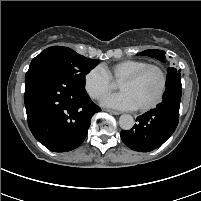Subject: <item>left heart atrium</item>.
<instances>
[{"mask_svg":"<svg viewBox=\"0 0 201 201\" xmlns=\"http://www.w3.org/2000/svg\"><path fill=\"white\" fill-rule=\"evenodd\" d=\"M102 104L117 110H132L137 107L131 97L123 91L106 96Z\"/></svg>","mask_w":201,"mask_h":201,"instance_id":"39dd6f15","label":"left heart atrium"}]
</instances>
